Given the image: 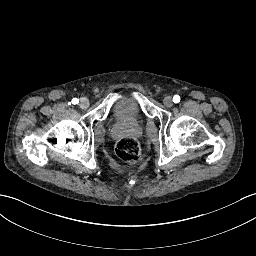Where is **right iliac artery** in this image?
<instances>
[{
    "instance_id": "1",
    "label": "right iliac artery",
    "mask_w": 256,
    "mask_h": 256,
    "mask_svg": "<svg viewBox=\"0 0 256 256\" xmlns=\"http://www.w3.org/2000/svg\"><path fill=\"white\" fill-rule=\"evenodd\" d=\"M72 103H73L74 105H76V104L79 103V100H78L77 98H73V99H72Z\"/></svg>"
}]
</instances>
